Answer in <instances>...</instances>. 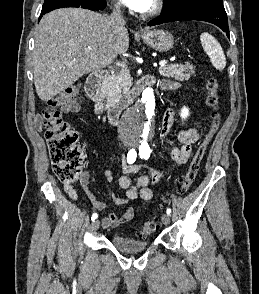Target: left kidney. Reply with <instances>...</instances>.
Here are the masks:
<instances>
[{
    "mask_svg": "<svg viewBox=\"0 0 259 294\" xmlns=\"http://www.w3.org/2000/svg\"><path fill=\"white\" fill-rule=\"evenodd\" d=\"M189 115V110L188 108L184 107L182 110H181V114L180 116L182 117V119H186Z\"/></svg>",
    "mask_w": 259,
    "mask_h": 294,
    "instance_id": "5707ae66",
    "label": "left kidney"
}]
</instances>
